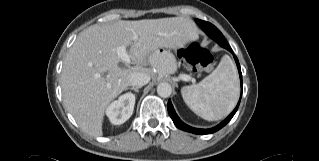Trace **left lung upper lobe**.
I'll return each instance as SVG.
<instances>
[{
  "label": "left lung upper lobe",
  "mask_w": 319,
  "mask_h": 161,
  "mask_svg": "<svg viewBox=\"0 0 319 161\" xmlns=\"http://www.w3.org/2000/svg\"><path fill=\"white\" fill-rule=\"evenodd\" d=\"M200 20L196 19V22L198 23ZM203 23L206 25V27H208L210 30H213L216 37L211 36L212 39H214L220 46H223L224 44H228L225 37L223 36V34L216 29V27L214 25H212L209 22H205L203 21Z\"/></svg>",
  "instance_id": "obj_1"
}]
</instances>
